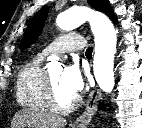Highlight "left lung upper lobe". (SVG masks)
I'll list each match as a JSON object with an SVG mask.
<instances>
[{"label":"left lung upper lobe","instance_id":"obj_1","mask_svg":"<svg viewBox=\"0 0 142 128\" xmlns=\"http://www.w3.org/2000/svg\"><path fill=\"white\" fill-rule=\"evenodd\" d=\"M89 5L94 9L101 11L108 15L115 23L116 17L111 9L110 3L108 0H88ZM48 14V6L41 8L33 17L30 24L28 25L26 32L23 36V39L20 44V49L28 48L41 34L43 29L46 17Z\"/></svg>","mask_w":142,"mask_h":128}]
</instances>
